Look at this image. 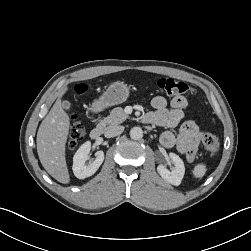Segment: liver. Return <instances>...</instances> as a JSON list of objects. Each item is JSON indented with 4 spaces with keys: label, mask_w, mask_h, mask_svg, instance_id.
Segmentation results:
<instances>
[{
    "label": "liver",
    "mask_w": 251,
    "mask_h": 251,
    "mask_svg": "<svg viewBox=\"0 0 251 251\" xmlns=\"http://www.w3.org/2000/svg\"><path fill=\"white\" fill-rule=\"evenodd\" d=\"M65 88L53 107L41 122L37 132V153L44 169L58 182L67 184L70 176L65 158L70 119L63 110L61 97L67 92Z\"/></svg>",
    "instance_id": "liver-1"
}]
</instances>
